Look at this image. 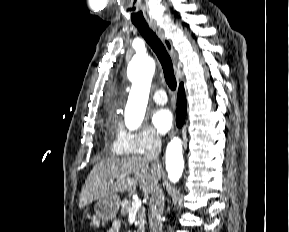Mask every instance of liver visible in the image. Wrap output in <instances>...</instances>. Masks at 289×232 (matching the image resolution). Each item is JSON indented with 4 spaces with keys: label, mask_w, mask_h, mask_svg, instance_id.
<instances>
[{
    "label": "liver",
    "mask_w": 289,
    "mask_h": 232,
    "mask_svg": "<svg viewBox=\"0 0 289 232\" xmlns=\"http://www.w3.org/2000/svg\"><path fill=\"white\" fill-rule=\"evenodd\" d=\"M160 178L161 168L150 164L145 158L130 156L103 159L88 175L80 194L79 207L83 208L96 199L117 192L135 191L137 186L144 194H151ZM111 179L113 182H110Z\"/></svg>",
    "instance_id": "liver-1"
}]
</instances>
